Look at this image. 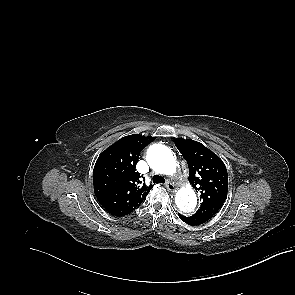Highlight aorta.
Here are the masks:
<instances>
[{"instance_id": "762f6f07", "label": "aorta", "mask_w": 295, "mask_h": 295, "mask_svg": "<svg viewBox=\"0 0 295 295\" xmlns=\"http://www.w3.org/2000/svg\"><path fill=\"white\" fill-rule=\"evenodd\" d=\"M149 165L158 173L171 175L176 171V161L171 150L163 144H154L147 151ZM175 203L179 211L185 215L194 212L197 206V197L190 186L178 190Z\"/></svg>"}]
</instances>
